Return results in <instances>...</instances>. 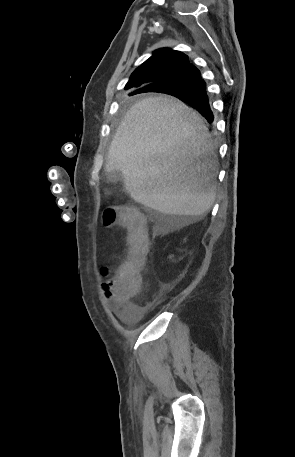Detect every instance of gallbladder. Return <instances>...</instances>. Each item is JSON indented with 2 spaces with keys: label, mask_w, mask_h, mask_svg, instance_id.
<instances>
[{
  "label": "gallbladder",
  "mask_w": 295,
  "mask_h": 457,
  "mask_svg": "<svg viewBox=\"0 0 295 457\" xmlns=\"http://www.w3.org/2000/svg\"><path fill=\"white\" fill-rule=\"evenodd\" d=\"M107 180L110 182L123 181V175L120 171H113L107 174Z\"/></svg>",
  "instance_id": "1"
}]
</instances>
